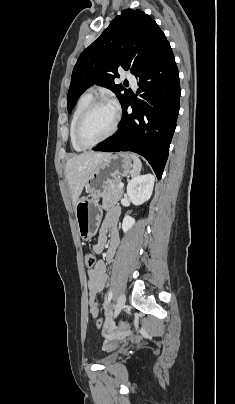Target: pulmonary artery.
Instances as JSON below:
<instances>
[{
    "label": "pulmonary artery",
    "instance_id": "pulmonary-artery-1",
    "mask_svg": "<svg viewBox=\"0 0 235 404\" xmlns=\"http://www.w3.org/2000/svg\"><path fill=\"white\" fill-rule=\"evenodd\" d=\"M125 77L128 79V81L130 82L131 86L134 89H136L138 87V82H137L136 78L130 72H126ZM94 90H95L94 87H91L88 92L92 93V92H94Z\"/></svg>",
    "mask_w": 235,
    "mask_h": 404
}]
</instances>
